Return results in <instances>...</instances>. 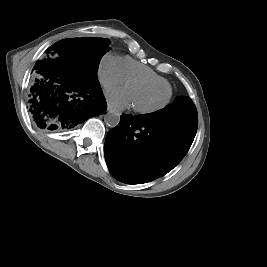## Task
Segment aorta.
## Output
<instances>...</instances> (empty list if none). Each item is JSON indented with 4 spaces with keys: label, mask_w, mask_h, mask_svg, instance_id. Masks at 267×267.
Returning a JSON list of instances; mask_svg holds the SVG:
<instances>
[{
    "label": "aorta",
    "mask_w": 267,
    "mask_h": 267,
    "mask_svg": "<svg viewBox=\"0 0 267 267\" xmlns=\"http://www.w3.org/2000/svg\"><path fill=\"white\" fill-rule=\"evenodd\" d=\"M104 121L107 126L114 128L120 122V115L117 112L110 111L104 116Z\"/></svg>",
    "instance_id": "762f6f07"
}]
</instances>
